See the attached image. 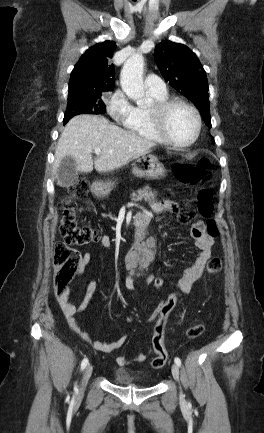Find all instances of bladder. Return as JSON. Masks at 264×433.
Returning a JSON list of instances; mask_svg holds the SVG:
<instances>
[{"label":"bladder","mask_w":264,"mask_h":433,"mask_svg":"<svg viewBox=\"0 0 264 433\" xmlns=\"http://www.w3.org/2000/svg\"><path fill=\"white\" fill-rule=\"evenodd\" d=\"M113 380L120 385H138L140 383V379L126 369H117L113 373Z\"/></svg>","instance_id":"1"}]
</instances>
